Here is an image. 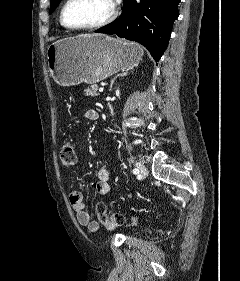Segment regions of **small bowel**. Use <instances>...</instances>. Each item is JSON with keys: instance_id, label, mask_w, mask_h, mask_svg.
I'll use <instances>...</instances> for the list:
<instances>
[{"instance_id": "1", "label": "small bowel", "mask_w": 240, "mask_h": 281, "mask_svg": "<svg viewBox=\"0 0 240 281\" xmlns=\"http://www.w3.org/2000/svg\"><path fill=\"white\" fill-rule=\"evenodd\" d=\"M84 117L87 120H97L99 115L94 109H89L85 112ZM97 182L95 188L98 194L106 195L111 191L110 181L113 178V172L109 168H101L98 172ZM131 197L130 194H126ZM69 202L73 212L75 213L76 219L80 225L86 226L89 232H96L99 228L97 222L92 221L90 214L86 211L83 194L79 190H74L69 195Z\"/></svg>"}]
</instances>
